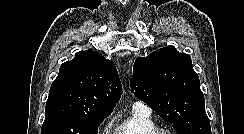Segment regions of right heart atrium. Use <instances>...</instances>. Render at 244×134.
Returning <instances> with one entry per match:
<instances>
[{"instance_id": "1", "label": "right heart atrium", "mask_w": 244, "mask_h": 134, "mask_svg": "<svg viewBox=\"0 0 244 134\" xmlns=\"http://www.w3.org/2000/svg\"><path fill=\"white\" fill-rule=\"evenodd\" d=\"M101 134H107V127L104 129V131Z\"/></svg>"}]
</instances>
